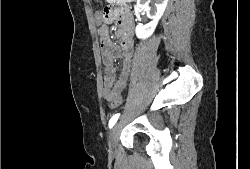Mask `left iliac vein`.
Returning <instances> with one entry per match:
<instances>
[{"mask_svg":"<svg viewBox=\"0 0 250 169\" xmlns=\"http://www.w3.org/2000/svg\"><path fill=\"white\" fill-rule=\"evenodd\" d=\"M120 131H121V126L119 123H117L110 132L108 146L111 151L115 150L117 147Z\"/></svg>","mask_w":250,"mask_h":169,"instance_id":"4c4485c4","label":"left iliac vein"}]
</instances>
